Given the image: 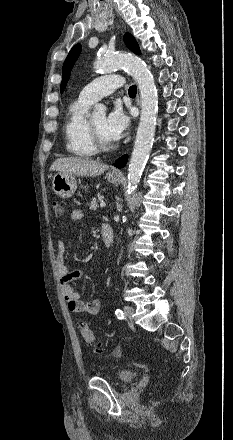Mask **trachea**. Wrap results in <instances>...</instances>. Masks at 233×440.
Masks as SVG:
<instances>
[{
  "mask_svg": "<svg viewBox=\"0 0 233 440\" xmlns=\"http://www.w3.org/2000/svg\"><path fill=\"white\" fill-rule=\"evenodd\" d=\"M136 92H137L136 85H132V86H130V88H129V90H128L129 95H130V96H135V95H136Z\"/></svg>",
  "mask_w": 233,
  "mask_h": 440,
  "instance_id": "1",
  "label": "trachea"
}]
</instances>
